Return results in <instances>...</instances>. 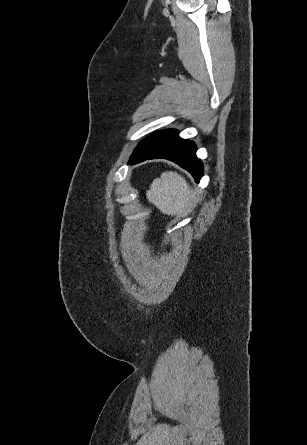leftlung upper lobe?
Listing matches in <instances>:
<instances>
[{"mask_svg": "<svg viewBox=\"0 0 307 445\" xmlns=\"http://www.w3.org/2000/svg\"><path fill=\"white\" fill-rule=\"evenodd\" d=\"M157 133H158V132H155V133L151 134L149 137H147V138L144 139L142 142H140L139 145L136 147L135 151L138 150V149L143 145V143H144L145 141H147L150 137L154 136V135L157 134ZM135 151H134V152H135ZM132 155H133V154H132Z\"/></svg>", "mask_w": 307, "mask_h": 445, "instance_id": "1", "label": "left lung upper lobe"}]
</instances>
